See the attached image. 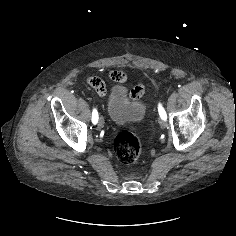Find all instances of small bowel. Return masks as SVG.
Listing matches in <instances>:
<instances>
[{
    "instance_id": "small-bowel-1",
    "label": "small bowel",
    "mask_w": 236,
    "mask_h": 236,
    "mask_svg": "<svg viewBox=\"0 0 236 236\" xmlns=\"http://www.w3.org/2000/svg\"><path fill=\"white\" fill-rule=\"evenodd\" d=\"M109 77L117 82L126 83L128 81L127 75L121 71H111L109 73ZM87 83L93 87L100 95H105L106 89L104 83L97 77H90L87 80ZM134 96L139 97L143 93V89L141 87H136L134 90Z\"/></svg>"
}]
</instances>
